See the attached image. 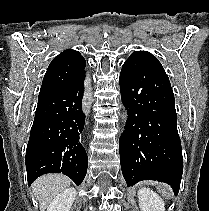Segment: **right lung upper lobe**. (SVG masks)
I'll return each mask as SVG.
<instances>
[{
    "label": "right lung upper lobe",
    "mask_w": 209,
    "mask_h": 211,
    "mask_svg": "<svg viewBox=\"0 0 209 211\" xmlns=\"http://www.w3.org/2000/svg\"><path fill=\"white\" fill-rule=\"evenodd\" d=\"M86 61L76 50H65L50 63L43 78L38 101L65 88L85 74Z\"/></svg>",
    "instance_id": "obj_1"
}]
</instances>
